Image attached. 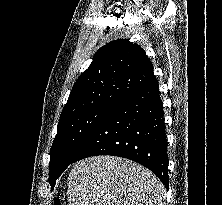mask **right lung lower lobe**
Here are the masks:
<instances>
[{"mask_svg": "<svg viewBox=\"0 0 222 205\" xmlns=\"http://www.w3.org/2000/svg\"><path fill=\"white\" fill-rule=\"evenodd\" d=\"M157 79L130 92L105 115L72 163L97 155L133 160L169 186L167 138Z\"/></svg>", "mask_w": 222, "mask_h": 205, "instance_id": "obj_1", "label": "right lung lower lobe"}]
</instances>
